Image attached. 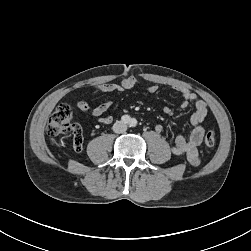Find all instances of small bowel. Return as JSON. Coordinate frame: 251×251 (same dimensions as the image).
Here are the masks:
<instances>
[{
	"label": "small bowel",
	"instance_id": "1",
	"mask_svg": "<svg viewBox=\"0 0 251 251\" xmlns=\"http://www.w3.org/2000/svg\"><path fill=\"white\" fill-rule=\"evenodd\" d=\"M139 84V80L134 76H129L123 78L119 83H106L95 86L93 89L96 92L100 93H118L123 94ZM157 85H151L147 87V92L154 96L158 92ZM175 91L181 94V108H187L190 104H194L195 111L191 116V124L192 130L188 136V138H184L183 136H177L174 140L171 151L174 155L180 157H186L188 162L191 165H198L200 162L199 154H198V146L201 144L203 135H204V120L207 116V106L206 103L197 97L195 93L190 91L184 87H175ZM113 102L108 100L96 107L89 106L84 101H78L77 107L82 112L90 115L97 122L101 124H110L113 121V117L109 114H106L107 111L112 107ZM163 112L170 116H174V110L169 106L163 107ZM156 132L160 133L163 130L161 125H156ZM74 148L77 151L82 149V143L78 146L74 145Z\"/></svg>",
	"mask_w": 251,
	"mask_h": 251
}]
</instances>
